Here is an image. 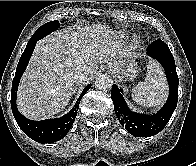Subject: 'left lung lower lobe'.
Instances as JSON below:
<instances>
[{
    "mask_svg": "<svg viewBox=\"0 0 196 166\" xmlns=\"http://www.w3.org/2000/svg\"><path fill=\"white\" fill-rule=\"evenodd\" d=\"M147 54L156 59L164 68L170 92L167 102L154 115L139 114L130 111L123 91L117 85L112 86L111 98L115 114L120 124L135 137H149L159 133L170 120L178 101V75L173 55L162 40H155L148 47Z\"/></svg>",
    "mask_w": 196,
    "mask_h": 166,
    "instance_id": "0a47b994",
    "label": "left lung lower lobe"
}]
</instances>
